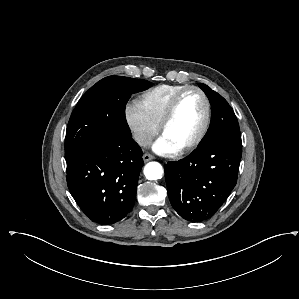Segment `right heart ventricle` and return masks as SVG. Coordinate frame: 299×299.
Instances as JSON below:
<instances>
[{
    "label": "right heart ventricle",
    "instance_id": "e07e8e85",
    "mask_svg": "<svg viewBox=\"0 0 299 299\" xmlns=\"http://www.w3.org/2000/svg\"><path fill=\"white\" fill-rule=\"evenodd\" d=\"M186 85L162 84L145 91L137 100L148 118L159 126L172 98Z\"/></svg>",
    "mask_w": 299,
    "mask_h": 299
}]
</instances>
